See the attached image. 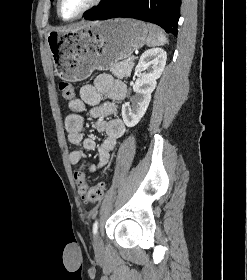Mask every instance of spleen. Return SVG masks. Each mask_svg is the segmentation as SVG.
I'll list each match as a JSON object with an SVG mask.
<instances>
[{"label":"spleen","mask_w":247,"mask_h":280,"mask_svg":"<svg viewBox=\"0 0 247 280\" xmlns=\"http://www.w3.org/2000/svg\"><path fill=\"white\" fill-rule=\"evenodd\" d=\"M147 27L149 29V35L146 43L149 47L164 45L167 42L165 34L159 27L150 23L147 24Z\"/></svg>","instance_id":"3e777b00"}]
</instances>
